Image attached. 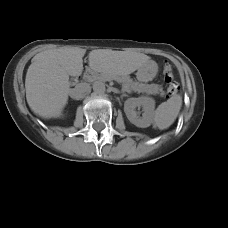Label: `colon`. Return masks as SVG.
I'll return each instance as SVG.
<instances>
[{"label": "colon", "mask_w": 228, "mask_h": 228, "mask_svg": "<svg viewBox=\"0 0 228 228\" xmlns=\"http://www.w3.org/2000/svg\"><path fill=\"white\" fill-rule=\"evenodd\" d=\"M163 74H164L165 81L170 84L168 87V95L169 96L175 95L179 90V86L177 83H172V81H173V70H172V66L169 63L164 64Z\"/></svg>", "instance_id": "1"}]
</instances>
